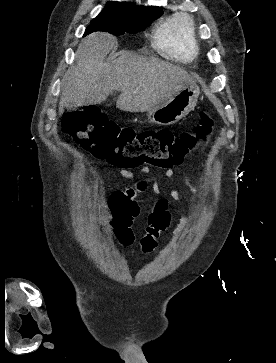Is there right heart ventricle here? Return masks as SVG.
<instances>
[{
  "label": "right heart ventricle",
  "mask_w": 276,
  "mask_h": 363,
  "mask_svg": "<svg viewBox=\"0 0 276 363\" xmlns=\"http://www.w3.org/2000/svg\"><path fill=\"white\" fill-rule=\"evenodd\" d=\"M154 46L170 58L191 61L197 55L192 19L174 15L162 21L155 30Z\"/></svg>",
  "instance_id": "obj_1"
}]
</instances>
